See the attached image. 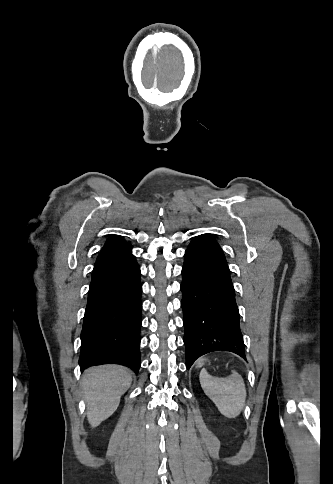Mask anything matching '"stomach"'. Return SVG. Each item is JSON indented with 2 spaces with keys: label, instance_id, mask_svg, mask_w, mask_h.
Instances as JSON below:
<instances>
[{
  "label": "stomach",
  "instance_id": "obj_1",
  "mask_svg": "<svg viewBox=\"0 0 333 484\" xmlns=\"http://www.w3.org/2000/svg\"><path fill=\"white\" fill-rule=\"evenodd\" d=\"M202 364H203V360H201V361L198 363V365H202Z\"/></svg>",
  "mask_w": 333,
  "mask_h": 484
}]
</instances>
